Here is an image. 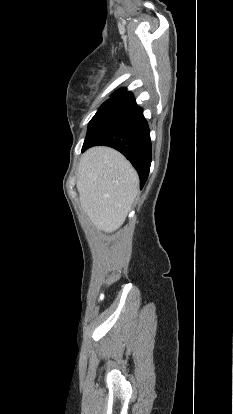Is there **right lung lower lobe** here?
Returning a JSON list of instances; mask_svg holds the SVG:
<instances>
[{
  "mask_svg": "<svg viewBox=\"0 0 233 414\" xmlns=\"http://www.w3.org/2000/svg\"><path fill=\"white\" fill-rule=\"evenodd\" d=\"M96 145L120 151L137 170L142 189L151 164L150 131L131 92L107 100L91 119L82 152Z\"/></svg>",
  "mask_w": 233,
  "mask_h": 414,
  "instance_id": "98d812e1",
  "label": "right lung lower lobe"
}]
</instances>
